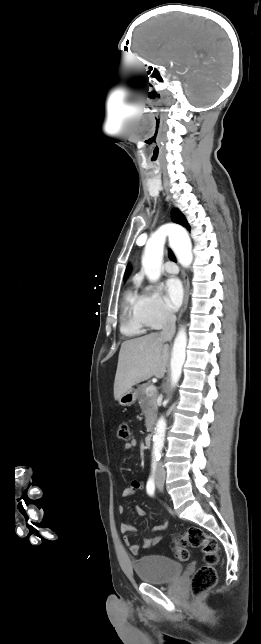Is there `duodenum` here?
Wrapping results in <instances>:
<instances>
[{
	"mask_svg": "<svg viewBox=\"0 0 261 644\" xmlns=\"http://www.w3.org/2000/svg\"><path fill=\"white\" fill-rule=\"evenodd\" d=\"M152 439H153L152 434H148V435H146V436H145V438H144V445H145L146 447H150V446H151V444H152Z\"/></svg>",
	"mask_w": 261,
	"mask_h": 644,
	"instance_id": "obj_1",
	"label": "duodenum"
}]
</instances>
